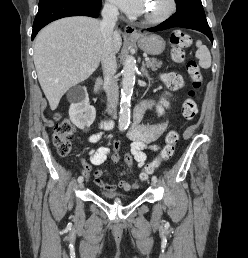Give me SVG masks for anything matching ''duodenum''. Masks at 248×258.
I'll return each instance as SVG.
<instances>
[{
  "instance_id": "410a0bca",
  "label": "duodenum",
  "mask_w": 248,
  "mask_h": 258,
  "mask_svg": "<svg viewBox=\"0 0 248 258\" xmlns=\"http://www.w3.org/2000/svg\"><path fill=\"white\" fill-rule=\"evenodd\" d=\"M102 88V80L100 77H98L95 81V91L96 93L100 94Z\"/></svg>"
}]
</instances>
